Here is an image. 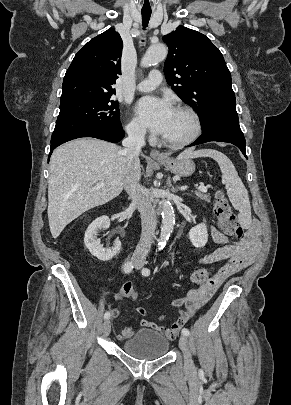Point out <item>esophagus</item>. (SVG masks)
I'll return each instance as SVG.
<instances>
[{"instance_id":"esophagus-1","label":"esophagus","mask_w":291,"mask_h":405,"mask_svg":"<svg viewBox=\"0 0 291 405\" xmlns=\"http://www.w3.org/2000/svg\"><path fill=\"white\" fill-rule=\"evenodd\" d=\"M150 156H151V158L157 159V160L164 158V155L160 151L155 150V149L151 150Z\"/></svg>"}]
</instances>
